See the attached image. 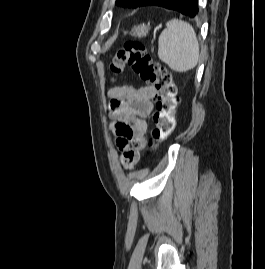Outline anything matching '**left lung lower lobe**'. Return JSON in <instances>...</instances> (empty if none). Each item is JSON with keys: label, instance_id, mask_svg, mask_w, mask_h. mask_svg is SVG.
Segmentation results:
<instances>
[{"label": "left lung lower lobe", "instance_id": "0a47b994", "mask_svg": "<svg viewBox=\"0 0 265 269\" xmlns=\"http://www.w3.org/2000/svg\"><path fill=\"white\" fill-rule=\"evenodd\" d=\"M149 5L176 10L191 18L199 12L198 0H144L138 7Z\"/></svg>", "mask_w": 265, "mask_h": 269}]
</instances>
